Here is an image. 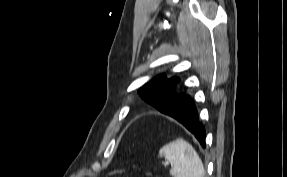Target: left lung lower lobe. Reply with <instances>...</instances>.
I'll return each instance as SVG.
<instances>
[{"label":"left lung lower lobe","mask_w":287,"mask_h":177,"mask_svg":"<svg viewBox=\"0 0 287 177\" xmlns=\"http://www.w3.org/2000/svg\"><path fill=\"white\" fill-rule=\"evenodd\" d=\"M171 102L173 103V111L171 109L168 115L182 123L205 147V129L199 122L198 113L191 97L180 93L171 99Z\"/></svg>","instance_id":"left-lung-lower-lobe-1"}]
</instances>
